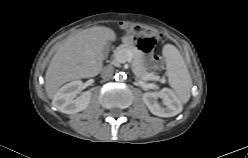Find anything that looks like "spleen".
<instances>
[{
    "mask_svg": "<svg viewBox=\"0 0 248 158\" xmlns=\"http://www.w3.org/2000/svg\"><path fill=\"white\" fill-rule=\"evenodd\" d=\"M163 54L166 58L169 84L179 98V101L185 104L190 98V89L192 87L189 71L175 46L166 45Z\"/></svg>",
    "mask_w": 248,
    "mask_h": 158,
    "instance_id": "obj_1",
    "label": "spleen"
}]
</instances>
